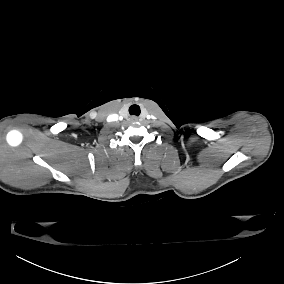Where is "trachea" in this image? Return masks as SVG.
Wrapping results in <instances>:
<instances>
[{
	"instance_id": "trachea-1",
	"label": "trachea",
	"mask_w": 284,
	"mask_h": 284,
	"mask_svg": "<svg viewBox=\"0 0 284 284\" xmlns=\"http://www.w3.org/2000/svg\"><path fill=\"white\" fill-rule=\"evenodd\" d=\"M129 113L130 115H136L139 116L141 113L140 107L136 104H133L129 107Z\"/></svg>"
}]
</instances>
